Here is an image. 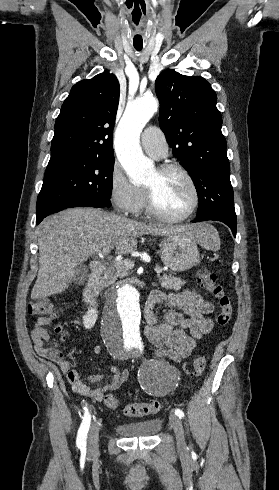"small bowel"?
<instances>
[{
	"label": "small bowel",
	"mask_w": 279,
	"mask_h": 490,
	"mask_svg": "<svg viewBox=\"0 0 279 490\" xmlns=\"http://www.w3.org/2000/svg\"><path fill=\"white\" fill-rule=\"evenodd\" d=\"M158 305L168 308L164 313L163 321H159L156 314L155 308ZM213 309L212 302L193 291L185 290L178 293L152 291L145 303L143 314L146 321L144 333L155 354L173 362H180L189 357L197 347V342L211 334L213 321L209 314ZM184 315L188 317L185 318ZM52 322L51 317H40L36 320L30 330L32 343L39 356L59 366L76 393L101 401L106 392L119 389L128 381L129 368L119 370L112 367L109 375L89 376L90 383L96 384L104 380L103 384L95 389L87 386L59 349L45 346L52 342L51 334L47 329ZM92 351L95 355H100L104 348L102 345H95Z\"/></svg>",
	"instance_id": "1"
}]
</instances>
